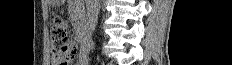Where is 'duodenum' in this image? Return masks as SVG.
I'll use <instances>...</instances> for the list:
<instances>
[{"label": "duodenum", "instance_id": "obj_1", "mask_svg": "<svg viewBox=\"0 0 232 65\" xmlns=\"http://www.w3.org/2000/svg\"><path fill=\"white\" fill-rule=\"evenodd\" d=\"M78 41L81 45V51L83 54H86L90 48V39L89 34L86 30H81L78 35Z\"/></svg>", "mask_w": 232, "mask_h": 65}]
</instances>
